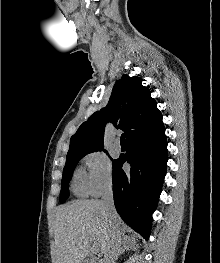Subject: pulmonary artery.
<instances>
[{
  "label": "pulmonary artery",
  "instance_id": "obj_1",
  "mask_svg": "<svg viewBox=\"0 0 220 263\" xmlns=\"http://www.w3.org/2000/svg\"><path fill=\"white\" fill-rule=\"evenodd\" d=\"M115 148L116 149H120L121 148V143H120L119 139H116V141H115Z\"/></svg>",
  "mask_w": 220,
  "mask_h": 263
}]
</instances>
